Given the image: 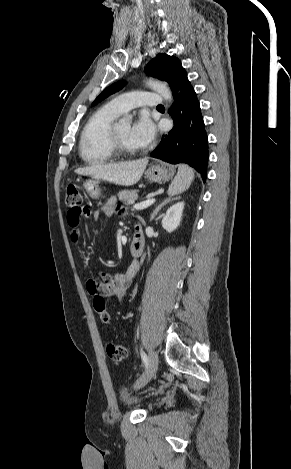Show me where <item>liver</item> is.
I'll return each mask as SVG.
<instances>
[{"label": "liver", "mask_w": 291, "mask_h": 469, "mask_svg": "<svg viewBox=\"0 0 291 469\" xmlns=\"http://www.w3.org/2000/svg\"><path fill=\"white\" fill-rule=\"evenodd\" d=\"M147 164L148 158H143L113 164H95L78 168L75 173L103 179L121 186H131L140 180Z\"/></svg>", "instance_id": "1"}]
</instances>
